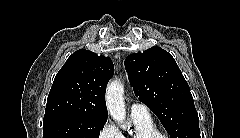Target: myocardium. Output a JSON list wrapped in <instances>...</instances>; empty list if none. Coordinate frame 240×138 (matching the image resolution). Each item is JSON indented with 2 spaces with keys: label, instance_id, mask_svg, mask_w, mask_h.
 Wrapping results in <instances>:
<instances>
[{
  "label": "myocardium",
  "instance_id": "1",
  "mask_svg": "<svg viewBox=\"0 0 240 138\" xmlns=\"http://www.w3.org/2000/svg\"><path fill=\"white\" fill-rule=\"evenodd\" d=\"M148 138H162V137L160 135H158V134H153V135H151Z\"/></svg>",
  "mask_w": 240,
  "mask_h": 138
}]
</instances>
